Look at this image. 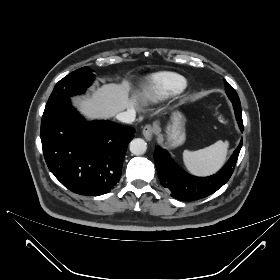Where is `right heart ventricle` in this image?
Segmentation results:
<instances>
[{
    "instance_id": "e07e8e85",
    "label": "right heart ventricle",
    "mask_w": 280,
    "mask_h": 280,
    "mask_svg": "<svg viewBox=\"0 0 280 280\" xmlns=\"http://www.w3.org/2000/svg\"><path fill=\"white\" fill-rule=\"evenodd\" d=\"M186 84V79L177 73H157L145 82L142 96L145 101L156 102L180 93Z\"/></svg>"
}]
</instances>
